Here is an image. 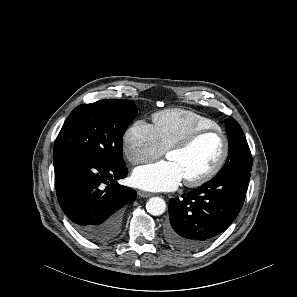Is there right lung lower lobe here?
Listing matches in <instances>:
<instances>
[{
  "label": "right lung lower lobe",
  "instance_id": "obj_1",
  "mask_svg": "<svg viewBox=\"0 0 297 297\" xmlns=\"http://www.w3.org/2000/svg\"><path fill=\"white\" fill-rule=\"evenodd\" d=\"M58 202L75 229L90 241L108 242L120 232L122 207L136 191L122 186L126 165L79 154L53 156Z\"/></svg>",
  "mask_w": 297,
  "mask_h": 297
}]
</instances>
